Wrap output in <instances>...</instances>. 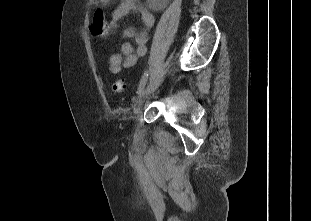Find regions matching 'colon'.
Wrapping results in <instances>:
<instances>
[{"mask_svg": "<svg viewBox=\"0 0 311 221\" xmlns=\"http://www.w3.org/2000/svg\"><path fill=\"white\" fill-rule=\"evenodd\" d=\"M90 30L95 37H103L110 34V23L106 20L102 11L94 13L93 23L90 25ZM112 91L114 93H123L126 91V83L124 80L119 79L112 85Z\"/></svg>", "mask_w": 311, "mask_h": 221, "instance_id": "colon-1", "label": "colon"}]
</instances>
